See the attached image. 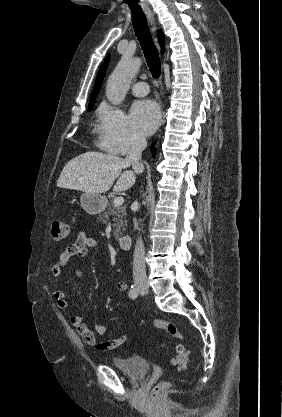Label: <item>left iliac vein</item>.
Masks as SVG:
<instances>
[{
	"instance_id": "4c4485c4",
	"label": "left iliac vein",
	"mask_w": 282,
	"mask_h": 417,
	"mask_svg": "<svg viewBox=\"0 0 282 417\" xmlns=\"http://www.w3.org/2000/svg\"><path fill=\"white\" fill-rule=\"evenodd\" d=\"M148 291H149V289H148V287H146L145 289L140 290V293H141L142 295H146V294L148 293Z\"/></svg>"
}]
</instances>
